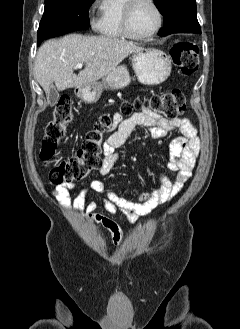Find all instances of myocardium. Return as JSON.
Segmentation results:
<instances>
[{
    "mask_svg": "<svg viewBox=\"0 0 240 329\" xmlns=\"http://www.w3.org/2000/svg\"><path fill=\"white\" fill-rule=\"evenodd\" d=\"M140 1L141 0H127L126 4L124 6V9H123V14H122V30H123L124 34L130 39L149 40V39L153 38L162 28L163 21H164V15H163L161 8L159 7V5L156 3L155 0H145L156 11L157 25L150 33H148L146 35L135 34L131 30L130 19H131V14H132L134 6Z\"/></svg>",
    "mask_w": 240,
    "mask_h": 329,
    "instance_id": "myocardium-1",
    "label": "myocardium"
}]
</instances>
